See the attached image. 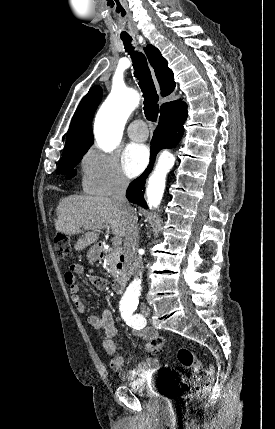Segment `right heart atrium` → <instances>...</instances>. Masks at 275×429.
Here are the masks:
<instances>
[{
	"label": "right heart atrium",
	"instance_id": "obj_1",
	"mask_svg": "<svg viewBox=\"0 0 275 429\" xmlns=\"http://www.w3.org/2000/svg\"><path fill=\"white\" fill-rule=\"evenodd\" d=\"M80 171L84 191L93 195L108 196L125 190L129 185L118 157L97 147H90L84 153Z\"/></svg>",
	"mask_w": 275,
	"mask_h": 429
}]
</instances>
